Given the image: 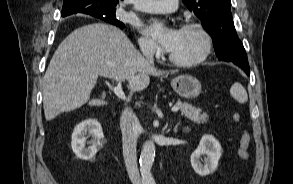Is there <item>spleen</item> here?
Listing matches in <instances>:
<instances>
[{"instance_id": "spleen-1", "label": "spleen", "mask_w": 293, "mask_h": 184, "mask_svg": "<svg viewBox=\"0 0 293 184\" xmlns=\"http://www.w3.org/2000/svg\"><path fill=\"white\" fill-rule=\"evenodd\" d=\"M231 96L239 103H246L248 100V95L244 87L236 82L232 85L230 89Z\"/></svg>"}]
</instances>
